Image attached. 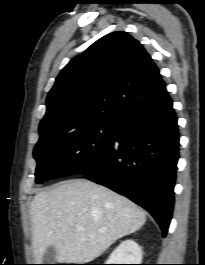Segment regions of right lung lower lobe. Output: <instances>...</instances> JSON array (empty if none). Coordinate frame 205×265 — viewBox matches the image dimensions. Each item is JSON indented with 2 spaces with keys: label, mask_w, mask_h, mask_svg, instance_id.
Returning <instances> with one entry per match:
<instances>
[{
  "label": "right lung lower lobe",
  "mask_w": 205,
  "mask_h": 265,
  "mask_svg": "<svg viewBox=\"0 0 205 265\" xmlns=\"http://www.w3.org/2000/svg\"><path fill=\"white\" fill-rule=\"evenodd\" d=\"M117 124L114 138L78 173L149 211L166 236L179 154L177 117L167 90Z\"/></svg>",
  "instance_id": "1"
}]
</instances>
